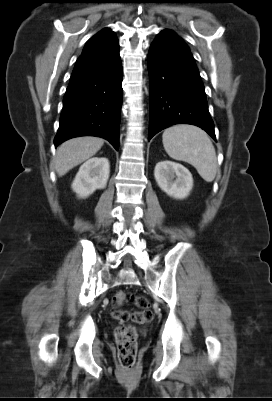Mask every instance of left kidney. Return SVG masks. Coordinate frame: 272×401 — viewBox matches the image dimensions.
Returning <instances> with one entry per match:
<instances>
[{
    "label": "left kidney",
    "instance_id": "1",
    "mask_svg": "<svg viewBox=\"0 0 272 401\" xmlns=\"http://www.w3.org/2000/svg\"><path fill=\"white\" fill-rule=\"evenodd\" d=\"M154 176L161 190L175 199L186 198L193 187V178L189 170L172 161L158 162Z\"/></svg>",
    "mask_w": 272,
    "mask_h": 401
}]
</instances>
